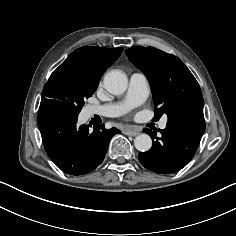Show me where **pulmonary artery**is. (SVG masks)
<instances>
[{
	"instance_id": "e3ab8cb5",
	"label": "pulmonary artery",
	"mask_w": 236,
	"mask_h": 236,
	"mask_svg": "<svg viewBox=\"0 0 236 236\" xmlns=\"http://www.w3.org/2000/svg\"><path fill=\"white\" fill-rule=\"evenodd\" d=\"M148 94L149 88L146 75L142 72H135L130 76L127 95L123 102L89 106L87 108V114L88 116L117 117L141 104L148 97ZM166 125L167 118L164 117L159 123V128L165 129Z\"/></svg>"
}]
</instances>
